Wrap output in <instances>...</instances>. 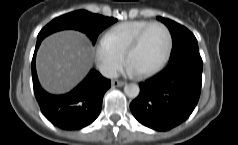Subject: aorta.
I'll return each instance as SVG.
<instances>
[{
  "label": "aorta",
  "instance_id": "1",
  "mask_svg": "<svg viewBox=\"0 0 238 145\" xmlns=\"http://www.w3.org/2000/svg\"><path fill=\"white\" fill-rule=\"evenodd\" d=\"M139 92H140V88L135 83L126 84L124 86V93L129 98H136L139 95Z\"/></svg>",
  "mask_w": 238,
  "mask_h": 145
}]
</instances>
